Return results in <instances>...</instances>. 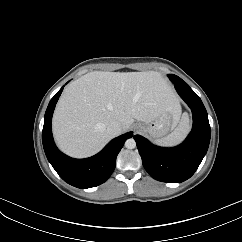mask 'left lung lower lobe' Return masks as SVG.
I'll use <instances>...</instances> for the list:
<instances>
[{
    "mask_svg": "<svg viewBox=\"0 0 242 242\" xmlns=\"http://www.w3.org/2000/svg\"><path fill=\"white\" fill-rule=\"evenodd\" d=\"M175 88L193 114L192 131L185 141L174 148H162L140 135L134 136L146 171L154 179L167 183L183 182L195 173L211 136L207 111L199 96L189 85H175Z\"/></svg>",
    "mask_w": 242,
    "mask_h": 242,
    "instance_id": "left-lung-lower-lobe-1",
    "label": "left lung lower lobe"
}]
</instances>
